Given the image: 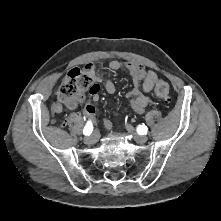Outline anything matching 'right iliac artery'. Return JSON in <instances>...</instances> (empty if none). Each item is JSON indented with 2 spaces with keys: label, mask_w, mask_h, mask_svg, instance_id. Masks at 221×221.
<instances>
[{
  "label": "right iliac artery",
  "mask_w": 221,
  "mask_h": 221,
  "mask_svg": "<svg viewBox=\"0 0 221 221\" xmlns=\"http://www.w3.org/2000/svg\"><path fill=\"white\" fill-rule=\"evenodd\" d=\"M93 131V124L91 121H88L83 129V134L89 136Z\"/></svg>",
  "instance_id": "82829eb1"
}]
</instances>
